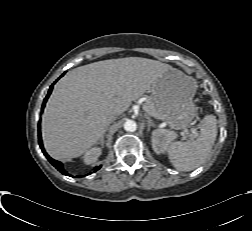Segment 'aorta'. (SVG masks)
<instances>
[{"label":"aorta","instance_id":"1","mask_svg":"<svg viewBox=\"0 0 252 231\" xmlns=\"http://www.w3.org/2000/svg\"><path fill=\"white\" fill-rule=\"evenodd\" d=\"M124 129L128 132H134L136 131L137 129V124L135 121L133 120H127L125 123H124Z\"/></svg>","mask_w":252,"mask_h":231}]
</instances>
